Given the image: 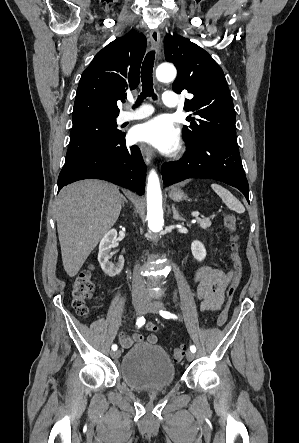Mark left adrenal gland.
<instances>
[{"mask_svg": "<svg viewBox=\"0 0 299 443\" xmlns=\"http://www.w3.org/2000/svg\"><path fill=\"white\" fill-rule=\"evenodd\" d=\"M172 211H173V219L175 220H181L184 221L185 219L179 214L177 209L175 208V205H172Z\"/></svg>", "mask_w": 299, "mask_h": 443, "instance_id": "left-adrenal-gland-1", "label": "left adrenal gland"}]
</instances>
